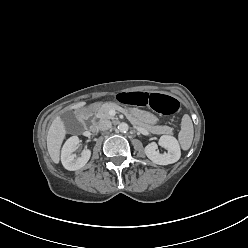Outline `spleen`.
<instances>
[{"label": "spleen", "mask_w": 248, "mask_h": 248, "mask_svg": "<svg viewBox=\"0 0 248 248\" xmlns=\"http://www.w3.org/2000/svg\"><path fill=\"white\" fill-rule=\"evenodd\" d=\"M194 137L193 123L188 114L182 117L181 130L178 134V140L183 150H188L191 147Z\"/></svg>", "instance_id": "obj_1"}]
</instances>
